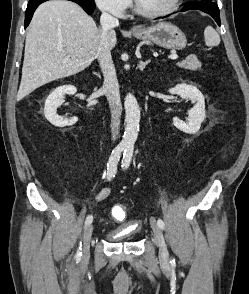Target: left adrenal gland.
Returning <instances> with one entry per match:
<instances>
[{
	"mask_svg": "<svg viewBox=\"0 0 249 294\" xmlns=\"http://www.w3.org/2000/svg\"><path fill=\"white\" fill-rule=\"evenodd\" d=\"M149 62H150V60L145 61V62L140 61V62H139V65H138L139 69H140L141 71H143L144 68L146 67V65H147Z\"/></svg>",
	"mask_w": 249,
	"mask_h": 294,
	"instance_id": "left-adrenal-gland-1",
	"label": "left adrenal gland"
}]
</instances>
